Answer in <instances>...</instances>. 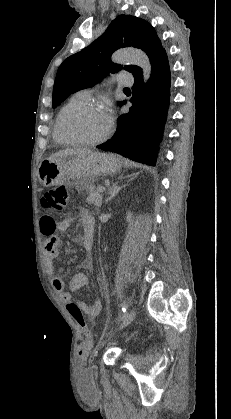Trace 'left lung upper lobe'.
Returning a JSON list of instances; mask_svg holds the SVG:
<instances>
[{
  "label": "left lung upper lobe",
  "instance_id": "obj_1",
  "mask_svg": "<svg viewBox=\"0 0 231 419\" xmlns=\"http://www.w3.org/2000/svg\"><path fill=\"white\" fill-rule=\"evenodd\" d=\"M123 47L142 49L151 64L165 51L150 23L130 15L118 16L90 46L69 56L60 65L53 89V108L71 93L94 86L109 72L114 73L124 68L133 76L142 73L138 66L123 67L110 61L111 54Z\"/></svg>",
  "mask_w": 231,
  "mask_h": 419
}]
</instances>
